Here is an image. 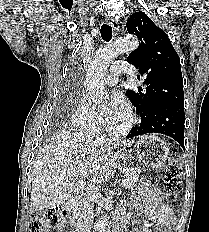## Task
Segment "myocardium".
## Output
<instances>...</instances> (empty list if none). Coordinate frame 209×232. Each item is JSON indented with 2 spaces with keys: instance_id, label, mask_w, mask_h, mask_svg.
I'll list each match as a JSON object with an SVG mask.
<instances>
[{
  "instance_id": "obj_1",
  "label": "myocardium",
  "mask_w": 209,
  "mask_h": 232,
  "mask_svg": "<svg viewBox=\"0 0 209 232\" xmlns=\"http://www.w3.org/2000/svg\"><path fill=\"white\" fill-rule=\"evenodd\" d=\"M135 122H136V117L132 113H129L127 116V120L124 123L111 126L109 128V132L114 135L126 134L132 128Z\"/></svg>"
}]
</instances>
